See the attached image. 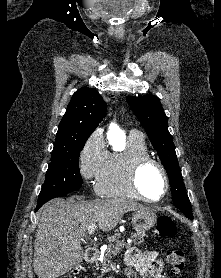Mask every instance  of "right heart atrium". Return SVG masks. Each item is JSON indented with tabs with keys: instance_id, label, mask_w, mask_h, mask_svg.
Segmentation results:
<instances>
[{
	"instance_id": "obj_1",
	"label": "right heart atrium",
	"mask_w": 221,
	"mask_h": 278,
	"mask_svg": "<svg viewBox=\"0 0 221 278\" xmlns=\"http://www.w3.org/2000/svg\"><path fill=\"white\" fill-rule=\"evenodd\" d=\"M109 152L103 133L94 131L85 141L79 153V171L87 181H94L104 171Z\"/></svg>"
}]
</instances>
